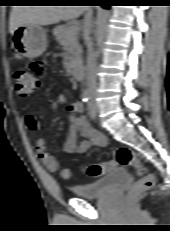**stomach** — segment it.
Instances as JSON below:
<instances>
[{
  "label": "stomach",
  "instance_id": "0dacf381",
  "mask_svg": "<svg viewBox=\"0 0 170 231\" xmlns=\"http://www.w3.org/2000/svg\"><path fill=\"white\" fill-rule=\"evenodd\" d=\"M12 44L20 55L36 58L47 48L46 30L39 25L20 26L12 34Z\"/></svg>",
  "mask_w": 170,
  "mask_h": 231
}]
</instances>
